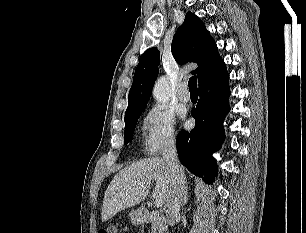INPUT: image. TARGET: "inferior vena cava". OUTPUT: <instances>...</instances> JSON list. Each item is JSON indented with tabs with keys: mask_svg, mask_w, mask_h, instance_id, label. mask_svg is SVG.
<instances>
[{
	"mask_svg": "<svg viewBox=\"0 0 306 233\" xmlns=\"http://www.w3.org/2000/svg\"><path fill=\"white\" fill-rule=\"evenodd\" d=\"M162 155L171 170L172 176L171 190L167 198L165 214L167 222L173 226L176 218L179 216L181 202L186 190L185 173L177 158L174 138L171 137L167 140Z\"/></svg>",
	"mask_w": 306,
	"mask_h": 233,
	"instance_id": "1",
	"label": "inferior vena cava"
}]
</instances>
